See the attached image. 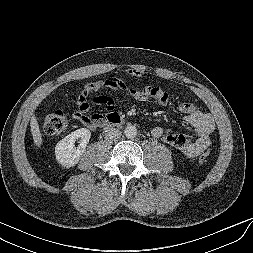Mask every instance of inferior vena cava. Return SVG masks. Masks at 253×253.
<instances>
[{
  "instance_id": "1",
  "label": "inferior vena cava",
  "mask_w": 253,
  "mask_h": 253,
  "mask_svg": "<svg viewBox=\"0 0 253 253\" xmlns=\"http://www.w3.org/2000/svg\"><path fill=\"white\" fill-rule=\"evenodd\" d=\"M104 136L106 140H117L119 138H121L122 133L119 129L117 128H107L104 131Z\"/></svg>"
}]
</instances>
